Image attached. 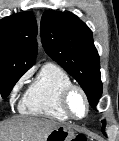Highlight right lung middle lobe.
Returning <instances> with one entry per match:
<instances>
[{"label": "right lung middle lobe", "mask_w": 119, "mask_h": 141, "mask_svg": "<svg viewBox=\"0 0 119 141\" xmlns=\"http://www.w3.org/2000/svg\"><path fill=\"white\" fill-rule=\"evenodd\" d=\"M25 72L2 71L0 72V96L5 98Z\"/></svg>", "instance_id": "right-lung-middle-lobe-1"}]
</instances>
